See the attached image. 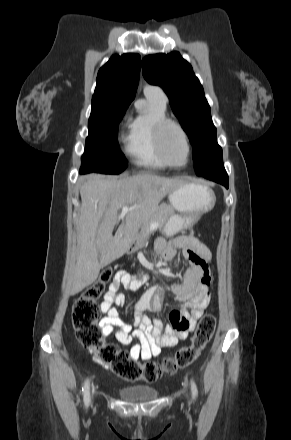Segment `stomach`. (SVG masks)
<instances>
[{
    "label": "stomach",
    "mask_w": 291,
    "mask_h": 440,
    "mask_svg": "<svg viewBox=\"0 0 291 440\" xmlns=\"http://www.w3.org/2000/svg\"><path fill=\"white\" fill-rule=\"evenodd\" d=\"M169 201L179 213L172 215L165 225V233L171 235L210 211L215 205L216 196L207 185L184 181L169 193Z\"/></svg>",
    "instance_id": "1"
}]
</instances>
